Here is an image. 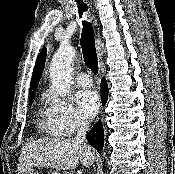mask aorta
Masks as SVG:
<instances>
[{
  "mask_svg": "<svg viewBox=\"0 0 175 174\" xmlns=\"http://www.w3.org/2000/svg\"><path fill=\"white\" fill-rule=\"evenodd\" d=\"M76 51L72 46L62 43L54 54L50 65V78L54 90L65 97L70 92L72 81L71 64Z\"/></svg>",
  "mask_w": 175,
  "mask_h": 174,
  "instance_id": "obj_1",
  "label": "aorta"
}]
</instances>
